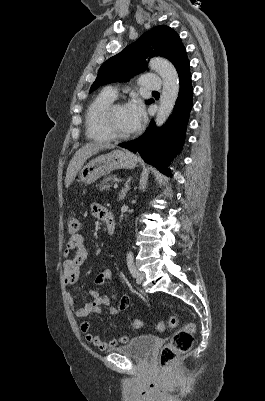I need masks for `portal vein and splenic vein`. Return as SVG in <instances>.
Returning a JSON list of instances; mask_svg holds the SVG:
<instances>
[{
	"label": "portal vein and splenic vein",
	"instance_id": "18ae733b",
	"mask_svg": "<svg viewBox=\"0 0 265 401\" xmlns=\"http://www.w3.org/2000/svg\"><path fill=\"white\" fill-rule=\"evenodd\" d=\"M114 188H115V189H118V188H119V185L117 184V182H115Z\"/></svg>",
	"mask_w": 265,
	"mask_h": 401
}]
</instances>
